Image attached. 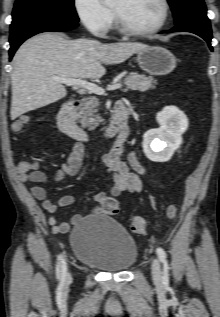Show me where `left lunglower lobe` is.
<instances>
[{
  "instance_id": "0a47b994",
  "label": "left lung lower lobe",
  "mask_w": 220,
  "mask_h": 317,
  "mask_svg": "<svg viewBox=\"0 0 220 317\" xmlns=\"http://www.w3.org/2000/svg\"><path fill=\"white\" fill-rule=\"evenodd\" d=\"M177 31H185L191 32L194 34L199 35L203 39H205L210 47L211 46V39H212V32L210 21L207 16L203 15H191L189 18L185 19L183 22L176 24L174 28H172L169 32H177Z\"/></svg>"
}]
</instances>
